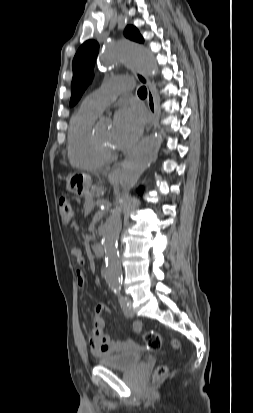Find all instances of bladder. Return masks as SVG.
Here are the masks:
<instances>
[{
    "label": "bladder",
    "instance_id": "bladder-1",
    "mask_svg": "<svg viewBox=\"0 0 253 413\" xmlns=\"http://www.w3.org/2000/svg\"><path fill=\"white\" fill-rule=\"evenodd\" d=\"M143 352L136 348H128L98 359V364L115 370H130L141 363Z\"/></svg>",
    "mask_w": 253,
    "mask_h": 413
}]
</instances>
